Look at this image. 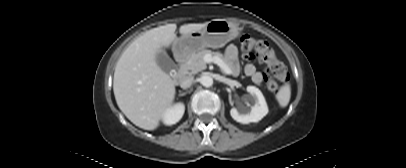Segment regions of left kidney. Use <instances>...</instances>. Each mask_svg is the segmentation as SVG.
<instances>
[{"label":"left kidney","mask_w":406,"mask_h":168,"mask_svg":"<svg viewBox=\"0 0 406 168\" xmlns=\"http://www.w3.org/2000/svg\"><path fill=\"white\" fill-rule=\"evenodd\" d=\"M247 92L250 93L254 102V104L250 106V109H242L239 111L236 108H232L230 110L231 117L242 124L258 122L268 113V106L262 92L255 86H248Z\"/></svg>","instance_id":"obj_1"}]
</instances>
